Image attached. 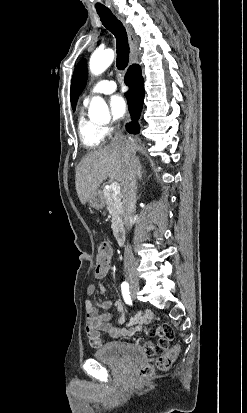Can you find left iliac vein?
<instances>
[{"instance_id":"obj_1","label":"left iliac vein","mask_w":247,"mask_h":413,"mask_svg":"<svg viewBox=\"0 0 247 413\" xmlns=\"http://www.w3.org/2000/svg\"><path fill=\"white\" fill-rule=\"evenodd\" d=\"M131 297L133 300H136V293L132 292Z\"/></svg>"}]
</instances>
